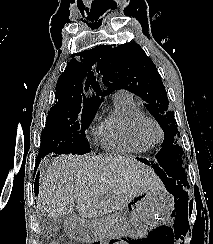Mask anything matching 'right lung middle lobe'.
Wrapping results in <instances>:
<instances>
[{"mask_svg": "<svg viewBox=\"0 0 213 244\" xmlns=\"http://www.w3.org/2000/svg\"><path fill=\"white\" fill-rule=\"evenodd\" d=\"M96 110L80 105L52 107L46 118V127L41 134L39 155L45 156L53 151L59 154L90 152L84 131Z\"/></svg>", "mask_w": 213, "mask_h": 244, "instance_id": "right-lung-middle-lobe-1", "label": "right lung middle lobe"}]
</instances>
